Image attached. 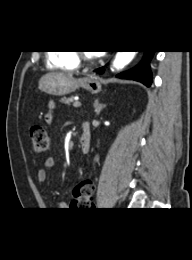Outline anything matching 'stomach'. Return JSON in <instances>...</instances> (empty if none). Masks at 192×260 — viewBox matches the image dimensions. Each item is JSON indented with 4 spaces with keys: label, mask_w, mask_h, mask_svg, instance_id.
Wrapping results in <instances>:
<instances>
[{
    "label": "stomach",
    "mask_w": 192,
    "mask_h": 260,
    "mask_svg": "<svg viewBox=\"0 0 192 260\" xmlns=\"http://www.w3.org/2000/svg\"><path fill=\"white\" fill-rule=\"evenodd\" d=\"M79 88L96 94L101 90L100 81L93 76L80 79L60 75L59 73L46 74L39 80V89L49 95L62 96L75 92Z\"/></svg>",
    "instance_id": "stomach-1"
}]
</instances>
